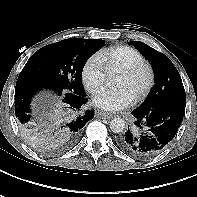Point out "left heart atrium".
<instances>
[{
  "mask_svg": "<svg viewBox=\"0 0 197 197\" xmlns=\"http://www.w3.org/2000/svg\"><path fill=\"white\" fill-rule=\"evenodd\" d=\"M134 96L125 87L103 88L99 90L93 99V103L107 111H117L132 104Z\"/></svg>",
  "mask_w": 197,
  "mask_h": 197,
  "instance_id": "1",
  "label": "left heart atrium"
}]
</instances>
